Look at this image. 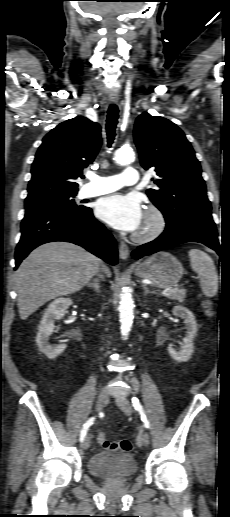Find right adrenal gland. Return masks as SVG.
<instances>
[{
	"mask_svg": "<svg viewBox=\"0 0 230 517\" xmlns=\"http://www.w3.org/2000/svg\"><path fill=\"white\" fill-rule=\"evenodd\" d=\"M86 286H87V287H90V288H92V289H94V291H95L96 293H100V291H101V290H100V285H99V282H98V279H97V278L93 279L92 283H89V284H87Z\"/></svg>",
	"mask_w": 230,
	"mask_h": 517,
	"instance_id": "2a0ac1e0",
	"label": "right adrenal gland"
}]
</instances>
